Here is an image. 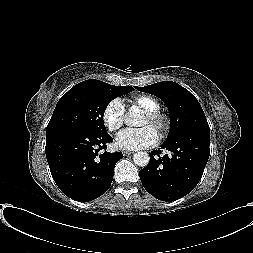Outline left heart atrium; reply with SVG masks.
<instances>
[{
	"instance_id": "1",
	"label": "left heart atrium",
	"mask_w": 253,
	"mask_h": 253,
	"mask_svg": "<svg viewBox=\"0 0 253 253\" xmlns=\"http://www.w3.org/2000/svg\"><path fill=\"white\" fill-rule=\"evenodd\" d=\"M159 136L153 127H144L138 130H125L116 137L115 145L122 150H140L156 145Z\"/></svg>"
}]
</instances>
